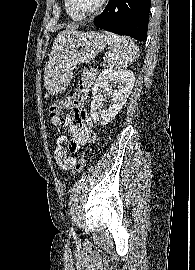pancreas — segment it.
<instances>
[{"label":"pancreas","mask_w":195,"mask_h":270,"mask_svg":"<svg viewBox=\"0 0 195 270\" xmlns=\"http://www.w3.org/2000/svg\"><path fill=\"white\" fill-rule=\"evenodd\" d=\"M107 64H106V61H104V63H103V66H106Z\"/></svg>","instance_id":"1"}]
</instances>
